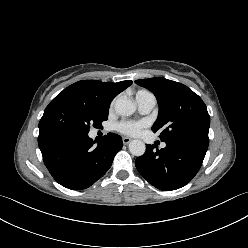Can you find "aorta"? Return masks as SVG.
Instances as JSON below:
<instances>
[{"label":"aorta","instance_id":"obj_1","mask_svg":"<svg viewBox=\"0 0 248 248\" xmlns=\"http://www.w3.org/2000/svg\"><path fill=\"white\" fill-rule=\"evenodd\" d=\"M136 110L135 104L128 99H118L115 103V111L120 116H130ZM146 146L141 140H132L129 143V151L134 156H141L145 153Z\"/></svg>","mask_w":248,"mask_h":248}]
</instances>
